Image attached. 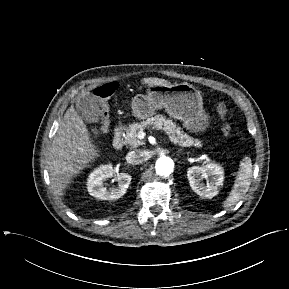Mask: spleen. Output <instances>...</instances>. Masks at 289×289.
I'll return each instance as SVG.
<instances>
[{"label": "spleen", "instance_id": "spleen-1", "mask_svg": "<svg viewBox=\"0 0 289 289\" xmlns=\"http://www.w3.org/2000/svg\"><path fill=\"white\" fill-rule=\"evenodd\" d=\"M252 172L251 159L246 157L240 162V168L237 172L234 185L229 196L223 202L224 208H230L237 204V202L247 193L251 184Z\"/></svg>", "mask_w": 289, "mask_h": 289}]
</instances>
